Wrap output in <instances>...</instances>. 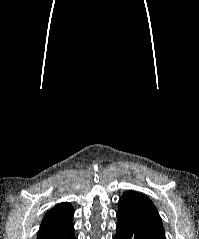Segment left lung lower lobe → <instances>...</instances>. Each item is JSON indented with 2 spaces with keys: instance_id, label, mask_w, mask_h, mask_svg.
<instances>
[{
  "instance_id": "0a47b994",
  "label": "left lung lower lobe",
  "mask_w": 199,
  "mask_h": 239,
  "mask_svg": "<svg viewBox=\"0 0 199 239\" xmlns=\"http://www.w3.org/2000/svg\"><path fill=\"white\" fill-rule=\"evenodd\" d=\"M116 235L113 239H166L147 223L126 213H117Z\"/></svg>"
}]
</instances>
